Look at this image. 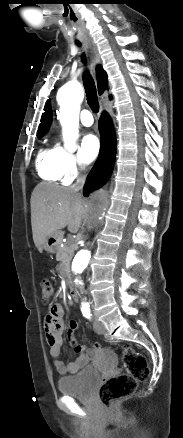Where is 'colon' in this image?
Instances as JSON below:
<instances>
[{
    "instance_id": "1",
    "label": "colon",
    "mask_w": 183,
    "mask_h": 438,
    "mask_svg": "<svg viewBox=\"0 0 183 438\" xmlns=\"http://www.w3.org/2000/svg\"><path fill=\"white\" fill-rule=\"evenodd\" d=\"M53 294L54 286L52 282L47 279L43 280L41 282L42 303H50ZM120 356L125 371L106 379L99 390L100 401L106 408H112L116 402L133 394L138 383L146 380L149 374L146 358L137 353L131 345H121Z\"/></svg>"
}]
</instances>
